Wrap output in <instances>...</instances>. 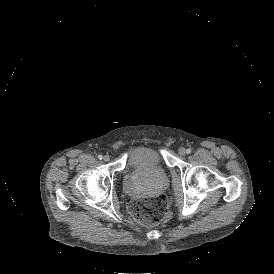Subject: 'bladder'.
Here are the masks:
<instances>
[{"instance_id":"1","label":"bladder","mask_w":274,"mask_h":274,"mask_svg":"<svg viewBox=\"0 0 274 274\" xmlns=\"http://www.w3.org/2000/svg\"><path fill=\"white\" fill-rule=\"evenodd\" d=\"M161 151L152 146H137L128 153L127 170L135 171L147 162L161 157Z\"/></svg>"}]
</instances>
